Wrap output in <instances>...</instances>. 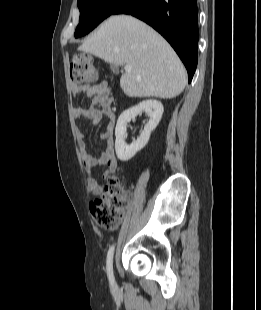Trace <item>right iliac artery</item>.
Segmentation results:
<instances>
[{
  "label": "right iliac artery",
  "instance_id": "right-iliac-artery-1",
  "mask_svg": "<svg viewBox=\"0 0 261 310\" xmlns=\"http://www.w3.org/2000/svg\"><path fill=\"white\" fill-rule=\"evenodd\" d=\"M113 254H114V245L110 247L108 254H107V275L109 278V282L111 285L114 284V276H113Z\"/></svg>",
  "mask_w": 261,
  "mask_h": 310
}]
</instances>
